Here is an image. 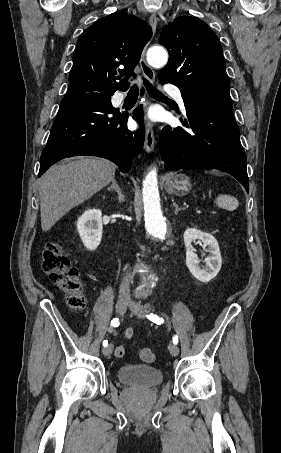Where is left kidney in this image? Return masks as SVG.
I'll list each match as a JSON object with an SVG mask.
<instances>
[{
    "mask_svg": "<svg viewBox=\"0 0 281 453\" xmlns=\"http://www.w3.org/2000/svg\"><path fill=\"white\" fill-rule=\"evenodd\" d=\"M196 239L202 241L204 247H208L206 253H209V255L204 261L206 263L205 267H201L198 255L191 251V243L196 241ZM184 243L186 247V265L190 273L201 283H209L219 273L222 265L221 253L215 237L209 235V233L197 231V229H186Z\"/></svg>",
    "mask_w": 281,
    "mask_h": 453,
    "instance_id": "obj_1",
    "label": "left kidney"
}]
</instances>
